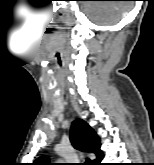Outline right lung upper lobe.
<instances>
[{"label": "right lung upper lobe", "mask_w": 154, "mask_h": 165, "mask_svg": "<svg viewBox=\"0 0 154 165\" xmlns=\"http://www.w3.org/2000/svg\"><path fill=\"white\" fill-rule=\"evenodd\" d=\"M70 140L72 145L81 151L98 154L100 138L95 131L82 119H76L71 126ZM33 165H53L47 156L39 157Z\"/></svg>", "instance_id": "right-lung-upper-lobe-1"}]
</instances>
